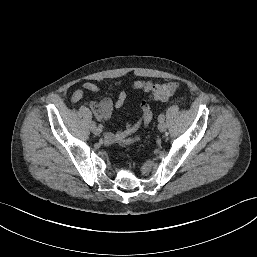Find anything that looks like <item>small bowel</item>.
Here are the masks:
<instances>
[{"instance_id": "1", "label": "small bowel", "mask_w": 257, "mask_h": 257, "mask_svg": "<svg viewBox=\"0 0 257 257\" xmlns=\"http://www.w3.org/2000/svg\"><path fill=\"white\" fill-rule=\"evenodd\" d=\"M131 88L135 91L150 92L154 88V82L152 80H136L132 83ZM99 91L100 87L96 83L85 82L80 88L73 92L71 102H79L87 92ZM126 98V92L120 91L115 103H113L111 98L106 97L100 102H91L89 106L99 121L106 122L111 118L113 108H121L124 105ZM140 111L141 115L139 119L133 124H128L123 130L116 133H106L104 137L105 143L108 145H127L138 141L140 137L136 135V132L141 127H147L152 120V111L147 102H141Z\"/></svg>"}]
</instances>
